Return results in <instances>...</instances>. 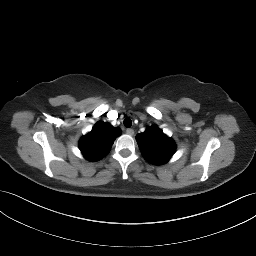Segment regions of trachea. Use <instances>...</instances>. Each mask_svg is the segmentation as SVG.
<instances>
[{"label": "trachea", "mask_w": 256, "mask_h": 256, "mask_svg": "<svg viewBox=\"0 0 256 256\" xmlns=\"http://www.w3.org/2000/svg\"><path fill=\"white\" fill-rule=\"evenodd\" d=\"M124 126L127 128H130L132 126V121L130 118H125L124 119Z\"/></svg>", "instance_id": "obj_1"}]
</instances>
